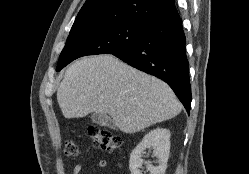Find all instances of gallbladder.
Masks as SVG:
<instances>
[{
  "instance_id": "1",
  "label": "gallbladder",
  "mask_w": 249,
  "mask_h": 174,
  "mask_svg": "<svg viewBox=\"0 0 249 174\" xmlns=\"http://www.w3.org/2000/svg\"><path fill=\"white\" fill-rule=\"evenodd\" d=\"M91 120L100 126H107L111 129H116L114 121L106 114L94 113L91 116Z\"/></svg>"
}]
</instances>
